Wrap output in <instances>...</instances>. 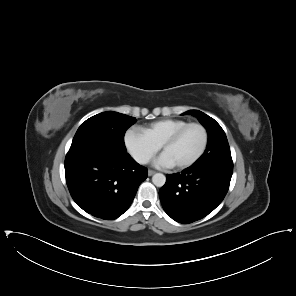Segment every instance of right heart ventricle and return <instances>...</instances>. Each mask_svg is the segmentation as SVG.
Segmentation results:
<instances>
[{"label": "right heart ventricle", "instance_id": "right-heart-ventricle-1", "mask_svg": "<svg viewBox=\"0 0 296 296\" xmlns=\"http://www.w3.org/2000/svg\"><path fill=\"white\" fill-rule=\"evenodd\" d=\"M189 122L182 119H164L151 124L144 129V133L159 147L163 146L166 140Z\"/></svg>", "mask_w": 296, "mask_h": 296}]
</instances>
